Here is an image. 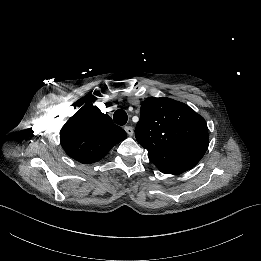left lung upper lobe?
I'll return each mask as SVG.
<instances>
[{
	"instance_id": "5c2ea615",
	"label": "left lung upper lobe",
	"mask_w": 261,
	"mask_h": 261,
	"mask_svg": "<svg viewBox=\"0 0 261 261\" xmlns=\"http://www.w3.org/2000/svg\"><path fill=\"white\" fill-rule=\"evenodd\" d=\"M135 136L148 150L149 159L166 174L193 168L208 147L204 118L188 105L166 97L142 102Z\"/></svg>"
}]
</instances>
